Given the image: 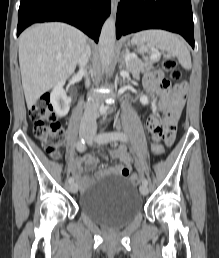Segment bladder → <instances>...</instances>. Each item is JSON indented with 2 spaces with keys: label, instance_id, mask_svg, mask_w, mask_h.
<instances>
[{
  "label": "bladder",
  "instance_id": "bladder-1",
  "mask_svg": "<svg viewBox=\"0 0 219 258\" xmlns=\"http://www.w3.org/2000/svg\"><path fill=\"white\" fill-rule=\"evenodd\" d=\"M80 211L107 227H122L143 210V199L123 176L106 173L79 196Z\"/></svg>",
  "mask_w": 219,
  "mask_h": 258
}]
</instances>
